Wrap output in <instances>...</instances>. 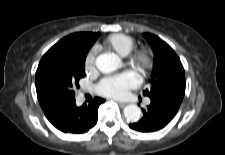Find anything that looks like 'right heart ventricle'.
<instances>
[{
	"label": "right heart ventricle",
	"instance_id": "obj_1",
	"mask_svg": "<svg viewBox=\"0 0 225 155\" xmlns=\"http://www.w3.org/2000/svg\"><path fill=\"white\" fill-rule=\"evenodd\" d=\"M135 44L134 39L123 33L109 35L103 42V47L113 51L119 56H127L133 49Z\"/></svg>",
	"mask_w": 225,
	"mask_h": 155
}]
</instances>
